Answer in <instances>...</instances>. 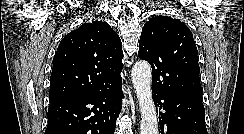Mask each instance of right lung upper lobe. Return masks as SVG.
I'll return each mask as SVG.
<instances>
[{
    "label": "right lung upper lobe",
    "mask_w": 244,
    "mask_h": 134,
    "mask_svg": "<svg viewBox=\"0 0 244 134\" xmlns=\"http://www.w3.org/2000/svg\"><path fill=\"white\" fill-rule=\"evenodd\" d=\"M121 46L119 36L106 22L84 23L68 33L53 58L49 101L112 84L122 70Z\"/></svg>",
    "instance_id": "cb5924a9"
}]
</instances>
